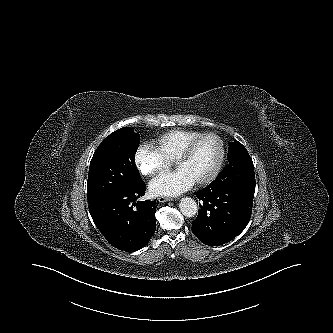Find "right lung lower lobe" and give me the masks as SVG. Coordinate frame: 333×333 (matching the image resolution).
I'll return each mask as SVG.
<instances>
[{
    "label": "right lung lower lobe",
    "mask_w": 333,
    "mask_h": 333,
    "mask_svg": "<svg viewBox=\"0 0 333 333\" xmlns=\"http://www.w3.org/2000/svg\"><path fill=\"white\" fill-rule=\"evenodd\" d=\"M141 183L128 190L105 196L89 203L91 217L106 240L121 251L143 248L156 229L155 210L158 201H138L145 194Z\"/></svg>",
    "instance_id": "98d812e1"
}]
</instances>
